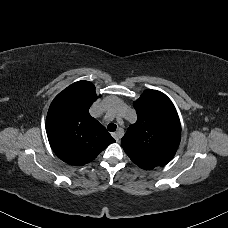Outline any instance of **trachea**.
I'll return each mask as SVG.
<instances>
[{
  "label": "trachea",
  "mask_w": 228,
  "mask_h": 228,
  "mask_svg": "<svg viewBox=\"0 0 228 228\" xmlns=\"http://www.w3.org/2000/svg\"><path fill=\"white\" fill-rule=\"evenodd\" d=\"M107 128H108V131L114 132L116 130L117 126L114 123H110Z\"/></svg>",
  "instance_id": "obj_1"
}]
</instances>
